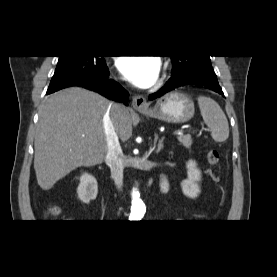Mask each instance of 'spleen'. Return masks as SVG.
Here are the masks:
<instances>
[{
	"instance_id": "3e777b00",
	"label": "spleen",
	"mask_w": 277,
	"mask_h": 277,
	"mask_svg": "<svg viewBox=\"0 0 277 277\" xmlns=\"http://www.w3.org/2000/svg\"><path fill=\"white\" fill-rule=\"evenodd\" d=\"M201 116L216 142H224L229 137L227 118L216 101L206 96L198 97Z\"/></svg>"
}]
</instances>
